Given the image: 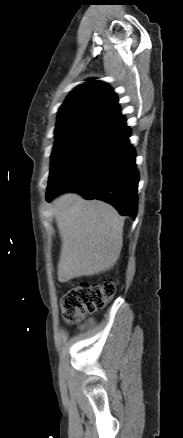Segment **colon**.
I'll use <instances>...</instances> for the list:
<instances>
[{
  "mask_svg": "<svg viewBox=\"0 0 183 438\" xmlns=\"http://www.w3.org/2000/svg\"><path fill=\"white\" fill-rule=\"evenodd\" d=\"M116 283L81 282L70 288L62 298L63 318L71 324L80 322L84 315L103 308L115 295Z\"/></svg>",
  "mask_w": 183,
  "mask_h": 438,
  "instance_id": "colon-1",
  "label": "colon"
}]
</instances>
